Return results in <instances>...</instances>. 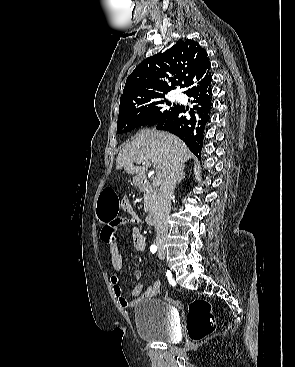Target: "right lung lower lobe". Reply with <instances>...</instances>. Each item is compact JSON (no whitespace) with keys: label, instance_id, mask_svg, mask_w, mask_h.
Here are the masks:
<instances>
[{"label":"right lung lower lobe","instance_id":"98d812e1","mask_svg":"<svg viewBox=\"0 0 295 367\" xmlns=\"http://www.w3.org/2000/svg\"><path fill=\"white\" fill-rule=\"evenodd\" d=\"M211 80L187 93L189 97L194 98L191 101L194 107L189 110L190 117L184 116L186 110L179 106L156 124L157 129L167 130L181 138L197 157H201L205 125L210 118L208 113L212 107Z\"/></svg>","mask_w":295,"mask_h":367}]
</instances>
